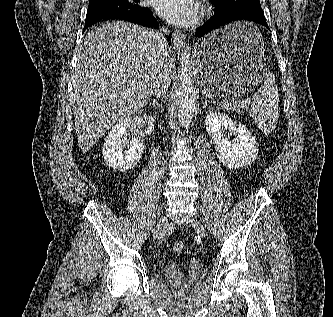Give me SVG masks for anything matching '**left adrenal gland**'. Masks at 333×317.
Returning <instances> with one entry per match:
<instances>
[{
    "instance_id": "obj_1",
    "label": "left adrenal gland",
    "mask_w": 333,
    "mask_h": 317,
    "mask_svg": "<svg viewBox=\"0 0 333 317\" xmlns=\"http://www.w3.org/2000/svg\"><path fill=\"white\" fill-rule=\"evenodd\" d=\"M206 107L209 108L208 103H207V100L205 99L204 104H203V109L206 108Z\"/></svg>"
}]
</instances>
